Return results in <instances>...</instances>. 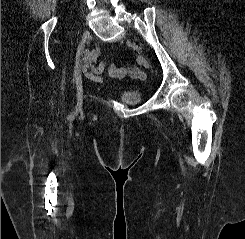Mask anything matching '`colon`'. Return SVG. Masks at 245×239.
<instances>
[{"instance_id": "colon-1", "label": "colon", "mask_w": 245, "mask_h": 239, "mask_svg": "<svg viewBox=\"0 0 245 239\" xmlns=\"http://www.w3.org/2000/svg\"><path fill=\"white\" fill-rule=\"evenodd\" d=\"M109 75L112 77H121L126 74H129L132 78L145 80L146 75L140 69L136 67H119L114 64L108 66Z\"/></svg>"}]
</instances>
